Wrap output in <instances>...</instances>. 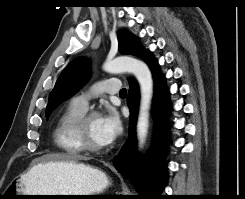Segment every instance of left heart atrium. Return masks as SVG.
<instances>
[{
  "mask_svg": "<svg viewBox=\"0 0 245 199\" xmlns=\"http://www.w3.org/2000/svg\"><path fill=\"white\" fill-rule=\"evenodd\" d=\"M98 121L101 135L106 145L112 143L121 134L122 122L113 109H108L99 116Z\"/></svg>",
  "mask_w": 245,
  "mask_h": 199,
  "instance_id": "1",
  "label": "left heart atrium"
}]
</instances>
